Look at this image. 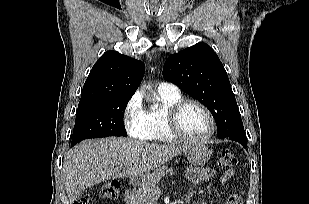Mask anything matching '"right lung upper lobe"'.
<instances>
[{"label":"right lung upper lobe","mask_w":309,"mask_h":204,"mask_svg":"<svg viewBox=\"0 0 309 204\" xmlns=\"http://www.w3.org/2000/svg\"><path fill=\"white\" fill-rule=\"evenodd\" d=\"M144 71L145 65L139 60L116 51L105 52L90 71L79 104L109 97L131 98Z\"/></svg>","instance_id":"obj_1"}]
</instances>
